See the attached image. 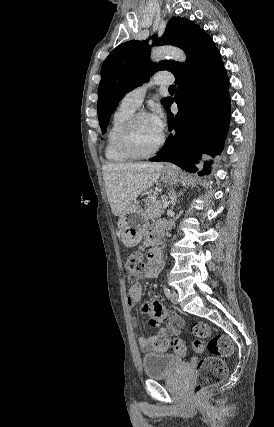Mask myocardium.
<instances>
[{
	"instance_id": "f54148a6",
	"label": "myocardium",
	"mask_w": 274,
	"mask_h": 427,
	"mask_svg": "<svg viewBox=\"0 0 274 427\" xmlns=\"http://www.w3.org/2000/svg\"><path fill=\"white\" fill-rule=\"evenodd\" d=\"M148 116L146 111H139L134 113L124 124L119 134V146L122 151L132 160H145L155 157L164 147L166 142L165 134L162 135L159 143L154 150L147 154L137 153L132 146V133L133 129L141 117Z\"/></svg>"
}]
</instances>
